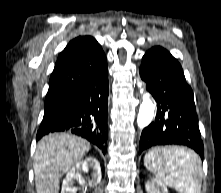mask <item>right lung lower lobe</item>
<instances>
[{
  "instance_id": "1",
  "label": "right lung lower lobe",
  "mask_w": 221,
  "mask_h": 193,
  "mask_svg": "<svg viewBox=\"0 0 221 193\" xmlns=\"http://www.w3.org/2000/svg\"><path fill=\"white\" fill-rule=\"evenodd\" d=\"M108 69L103 61L67 99L66 109L43 120L37 140L52 132H71L86 138L106 153Z\"/></svg>"
}]
</instances>
